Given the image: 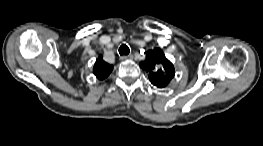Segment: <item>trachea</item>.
Masks as SVG:
<instances>
[{
	"instance_id": "1",
	"label": "trachea",
	"mask_w": 263,
	"mask_h": 146,
	"mask_svg": "<svg viewBox=\"0 0 263 146\" xmlns=\"http://www.w3.org/2000/svg\"><path fill=\"white\" fill-rule=\"evenodd\" d=\"M130 52V49L127 45L123 44L119 47V54L120 55H128Z\"/></svg>"
}]
</instances>
